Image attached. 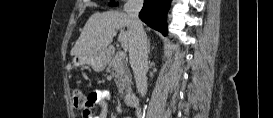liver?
<instances>
[{
  "label": "liver",
  "instance_id": "liver-1",
  "mask_svg": "<svg viewBox=\"0 0 273 118\" xmlns=\"http://www.w3.org/2000/svg\"><path fill=\"white\" fill-rule=\"evenodd\" d=\"M130 18L128 14L118 11L96 12L86 22L78 40L71 50V55H91L104 52L111 44L116 30L124 29L118 36V41L125 49H129Z\"/></svg>",
  "mask_w": 273,
  "mask_h": 118
}]
</instances>
